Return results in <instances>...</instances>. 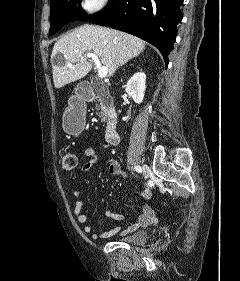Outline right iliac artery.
<instances>
[{
	"label": "right iliac artery",
	"mask_w": 240,
	"mask_h": 281,
	"mask_svg": "<svg viewBox=\"0 0 240 281\" xmlns=\"http://www.w3.org/2000/svg\"><path fill=\"white\" fill-rule=\"evenodd\" d=\"M134 169L139 173L142 172V168L139 165L135 166Z\"/></svg>",
	"instance_id": "obj_1"
}]
</instances>
